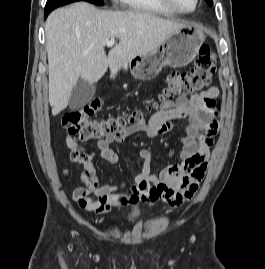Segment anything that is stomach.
<instances>
[{"label":"stomach","mask_w":265,"mask_h":269,"mask_svg":"<svg viewBox=\"0 0 265 269\" xmlns=\"http://www.w3.org/2000/svg\"><path fill=\"white\" fill-rule=\"evenodd\" d=\"M205 41V34L194 25H186L169 35L151 52L139 55L129 61L124 68L141 80L156 77L164 66L180 68L187 66L198 54Z\"/></svg>","instance_id":"stomach-1"}]
</instances>
